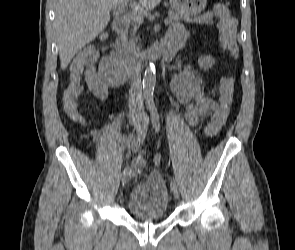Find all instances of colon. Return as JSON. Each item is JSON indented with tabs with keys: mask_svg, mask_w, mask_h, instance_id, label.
I'll return each instance as SVG.
<instances>
[{
	"mask_svg": "<svg viewBox=\"0 0 295 250\" xmlns=\"http://www.w3.org/2000/svg\"><path fill=\"white\" fill-rule=\"evenodd\" d=\"M216 15L219 18V32L222 48L233 57L236 53V21L222 5L216 7ZM85 50L94 52L95 47L88 46ZM80 91L81 86L79 79L69 78V83L63 93V108L70 119L78 123H83L84 119L78 107ZM233 94L234 80L231 77L223 78L220 84L219 110L211 119L206 129L209 136L217 134L227 120Z\"/></svg>",
	"mask_w": 295,
	"mask_h": 250,
	"instance_id": "5ec220e1",
	"label": "colon"
}]
</instances>
